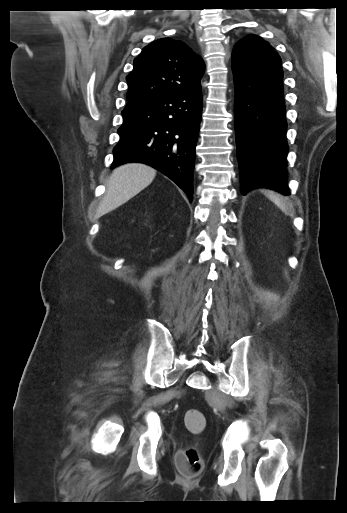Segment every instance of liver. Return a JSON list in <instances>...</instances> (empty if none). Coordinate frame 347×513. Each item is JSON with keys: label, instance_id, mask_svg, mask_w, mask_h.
<instances>
[{"label": "liver", "instance_id": "6515ba94", "mask_svg": "<svg viewBox=\"0 0 347 513\" xmlns=\"http://www.w3.org/2000/svg\"><path fill=\"white\" fill-rule=\"evenodd\" d=\"M155 175L154 168L141 163H128L114 169L97 215L102 216L129 201L149 186Z\"/></svg>", "mask_w": 347, "mask_h": 513}]
</instances>
